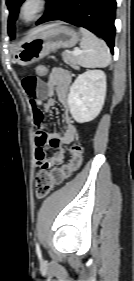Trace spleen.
<instances>
[{"instance_id": "obj_1", "label": "spleen", "mask_w": 134, "mask_h": 281, "mask_svg": "<svg viewBox=\"0 0 134 281\" xmlns=\"http://www.w3.org/2000/svg\"><path fill=\"white\" fill-rule=\"evenodd\" d=\"M80 32L82 53L78 57V64L85 68L107 67L111 55L106 43L84 28H80Z\"/></svg>"}]
</instances>
